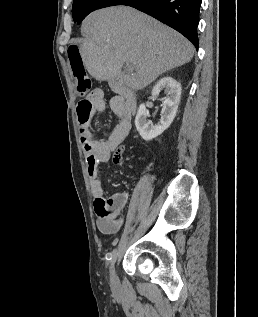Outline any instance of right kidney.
I'll return each instance as SVG.
<instances>
[{
  "mask_svg": "<svg viewBox=\"0 0 258 317\" xmlns=\"http://www.w3.org/2000/svg\"><path fill=\"white\" fill-rule=\"evenodd\" d=\"M160 90H165L167 96L163 100V108L161 110V118L157 124H152V120H149V116L144 102L139 104L137 114L135 116V126L139 130L144 140H152L158 134H161L163 130H166L170 126L172 120H174L180 102L181 86L175 78L172 76H163L158 80L157 84L152 88V96H158Z\"/></svg>",
  "mask_w": 258,
  "mask_h": 317,
  "instance_id": "1",
  "label": "right kidney"
}]
</instances>
